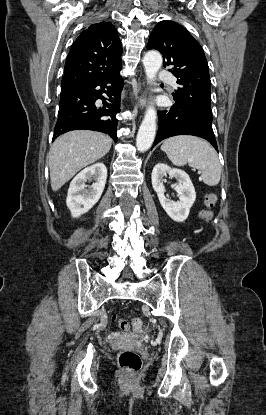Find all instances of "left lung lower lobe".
<instances>
[{
	"mask_svg": "<svg viewBox=\"0 0 266 415\" xmlns=\"http://www.w3.org/2000/svg\"><path fill=\"white\" fill-rule=\"evenodd\" d=\"M159 129L153 147L160 141L176 135H194L209 141L218 151L212 127L186 113L174 104L170 109L160 111Z\"/></svg>",
	"mask_w": 266,
	"mask_h": 415,
	"instance_id": "0a47b994",
	"label": "left lung lower lobe"
}]
</instances>
